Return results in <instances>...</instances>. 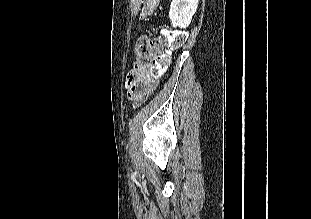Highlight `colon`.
<instances>
[{"label":"colon","instance_id":"colon-1","mask_svg":"<svg viewBox=\"0 0 311 219\" xmlns=\"http://www.w3.org/2000/svg\"><path fill=\"white\" fill-rule=\"evenodd\" d=\"M184 40L185 33L181 30L163 29L158 36H141L136 45L135 70L146 69L149 76L159 78L168 61L164 48L175 49L181 46Z\"/></svg>","mask_w":311,"mask_h":219}]
</instances>
